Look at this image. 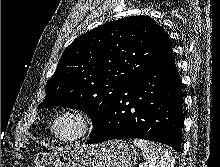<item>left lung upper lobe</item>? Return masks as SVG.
<instances>
[{
	"label": "left lung upper lobe",
	"instance_id": "1",
	"mask_svg": "<svg viewBox=\"0 0 220 167\" xmlns=\"http://www.w3.org/2000/svg\"><path fill=\"white\" fill-rule=\"evenodd\" d=\"M172 53L165 29L148 16L107 22L66 48L38 108L84 111L93 122L92 137L102 128L119 91Z\"/></svg>",
	"mask_w": 220,
	"mask_h": 167
}]
</instances>
